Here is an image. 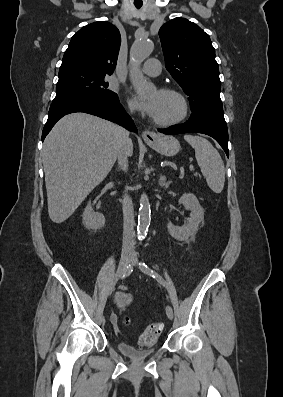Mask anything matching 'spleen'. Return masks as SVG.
Here are the masks:
<instances>
[{"mask_svg":"<svg viewBox=\"0 0 283 397\" xmlns=\"http://www.w3.org/2000/svg\"><path fill=\"white\" fill-rule=\"evenodd\" d=\"M184 139L194 148L197 163L209 188L215 193H220L225 182V168L220 154L203 137L185 135Z\"/></svg>","mask_w":283,"mask_h":397,"instance_id":"spleen-1","label":"spleen"}]
</instances>
